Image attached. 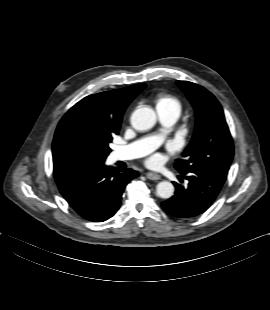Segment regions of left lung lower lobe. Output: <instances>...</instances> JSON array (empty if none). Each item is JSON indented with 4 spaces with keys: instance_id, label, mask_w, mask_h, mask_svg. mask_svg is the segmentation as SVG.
<instances>
[{
    "instance_id": "obj_1",
    "label": "left lung lower lobe",
    "mask_w": 270,
    "mask_h": 310,
    "mask_svg": "<svg viewBox=\"0 0 270 310\" xmlns=\"http://www.w3.org/2000/svg\"><path fill=\"white\" fill-rule=\"evenodd\" d=\"M189 181L186 187L173 182L175 195L162 202L163 209L177 218H192L204 213L218 196L226 176L194 169L181 173Z\"/></svg>"
}]
</instances>
